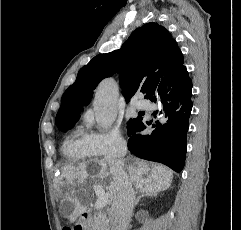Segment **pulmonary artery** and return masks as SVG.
<instances>
[{"label":"pulmonary artery","mask_w":241,"mask_h":230,"mask_svg":"<svg viewBox=\"0 0 241 230\" xmlns=\"http://www.w3.org/2000/svg\"><path fill=\"white\" fill-rule=\"evenodd\" d=\"M137 106L143 108V107H146L147 105L145 102H139Z\"/></svg>","instance_id":"1"}]
</instances>
